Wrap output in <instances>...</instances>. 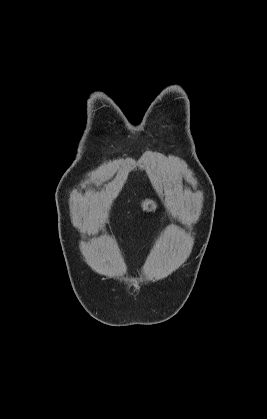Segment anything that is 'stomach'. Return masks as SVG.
Returning a JSON list of instances; mask_svg holds the SVG:
<instances>
[{"label":"stomach","mask_w":267,"mask_h":419,"mask_svg":"<svg viewBox=\"0 0 267 419\" xmlns=\"http://www.w3.org/2000/svg\"><path fill=\"white\" fill-rule=\"evenodd\" d=\"M140 206L142 210L146 212H155L157 209L156 202L151 199L142 200V202L140 203Z\"/></svg>","instance_id":"obj_1"}]
</instances>
